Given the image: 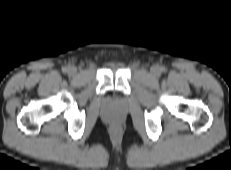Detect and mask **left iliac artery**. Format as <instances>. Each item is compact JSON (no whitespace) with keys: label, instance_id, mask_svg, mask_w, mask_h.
<instances>
[{"label":"left iliac artery","instance_id":"obj_1","mask_svg":"<svg viewBox=\"0 0 231 170\" xmlns=\"http://www.w3.org/2000/svg\"><path fill=\"white\" fill-rule=\"evenodd\" d=\"M162 71H165V68H161Z\"/></svg>","mask_w":231,"mask_h":170}]
</instances>
